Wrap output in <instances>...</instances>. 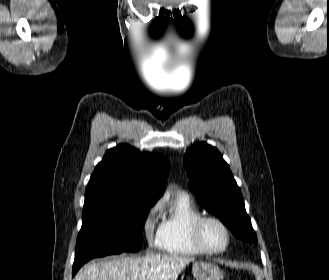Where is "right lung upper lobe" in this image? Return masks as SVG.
I'll return each instance as SVG.
<instances>
[{"mask_svg": "<svg viewBox=\"0 0 329 280\" xmlns=\"http://www.w3.org/2000/svg\"><path fill=\"white\" fill-rule=\"evenodd\" d=\"M169 170L168 159L160 154L139 152L128 144L109 149L86 187L83 212L117 198L159 199Z\"/></svg>", "mask_w": 329, "mask_h": 280, "instance_id": "obj_1", "label": "right lung upper lobe"}]
</instances>
